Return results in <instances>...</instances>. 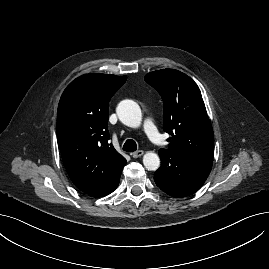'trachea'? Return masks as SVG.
I'll return each instance as SVG.
<instances>
[{
	"label": "trachea",
	"instance_id": "3493384b",
	"mask_svg": "<svg viewBox=\"0 0 269 269\" xmlns=\"http://www.w3.org/2000/svg\"><path fill=\"white\" fill-rule=\"evenodd\" d=\"M123 150L126 152H134L137 150V144L134 140L128 139L123 145Z\"/></svg>",
	"mask_w": 269,
	"mask_h": 269
}]
</instances>
